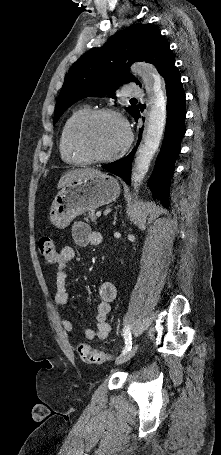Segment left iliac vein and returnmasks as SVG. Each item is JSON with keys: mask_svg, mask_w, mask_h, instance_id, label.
Here are the masks:
<instances>
[{"mask_svg": "<svg viewBox=\"0 0 221 455\" xmlns=\"http://www.w3.org/2000/svg\"><path fill=\"white\" fill-rule=\"evenodd\" d=\"M138 347H139V344H135L129 351H127L126 353L122 354L121 356H119L116 361H115V364H122L128 360H130L136 353V351L138 350Z\"/></svg>", "mask_w": 221, "mask_h": 455, "instance_id": "4c4485c4", "label": "left iliac vein"}]
</instances>
